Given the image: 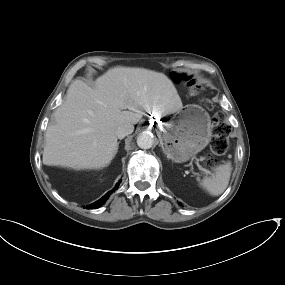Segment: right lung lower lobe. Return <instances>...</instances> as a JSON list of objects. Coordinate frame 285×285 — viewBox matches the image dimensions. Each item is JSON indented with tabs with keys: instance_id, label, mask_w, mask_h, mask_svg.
Here are the masks:
<instances>
[{
	"instance_id": "98d812e1",
	"label": "right lung lower lobe",
	"mask_w": 285,
	"mask_h": 285,
	"mask_svg": "<svg viewBox=\"0 0 285 285\" xmlns=\"http://www.w3.org/2000/svg\"><path fill=\"white\" fill-rule=\"evenodd\" d=\"M119 184H120V182H118V183L116 184V187H115L112 191H114L115 189H117L118 186H119ZM109 195H110V192L106 193L101 199H99L98 201H96V202H94V203H92V204L86 206V208H87V209H97V208L101 207V206L106 202V200L109 198ZM84 208H85V207H84Z\"/></svg>"
}]
</instances>
